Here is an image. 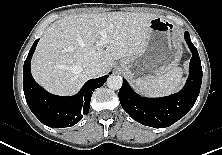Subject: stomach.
Wrapping results in <instances>:
<instances>
[{"instance_id":"stomach-1","label":"stomach","mask_w":222,"mask_h":155,"mask_svg":"<svg viewBox=\"0 0 222 155\" xmlns=\"http://www.w3.org/2000/svg\"><path fill=\"white\" fill-rule=\"evenodd\" d=\"M181 58V45L172 23L162 17L150 20L147 46L140 55L127 57L120 68L133 82L155 78L175 68Z\"/></svg>"}]
</instances>
